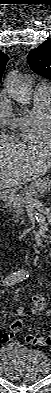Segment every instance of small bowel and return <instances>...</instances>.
Segmentation results:
<instances>
[{
	"instance_id": "c3829d8e",
	"label": "small bowel",
	"mask_w": 51,
	"mask_h": 393,
	"mask_svg": "<svg viewBox=\"0 0 51 393\" xmlns=\"http://www.w3.org/2000/svg\"><path fill=\"white\" fill-rule=\"evenodd\" d=\"M36 304H40V308L36 307ZM44 306H45V300L41 295H32L31 296V307H32V312L34 314L36 313H40L41 311L44 310ZM24 307L19 306L16 311L15 314L16 316H22L24 314ZM12 338V332H4L1 335V339L3 342H8L10 339ZM15 345V344H12ZM17 346V345H15Z\"/></svg>"
}]
</instances>
